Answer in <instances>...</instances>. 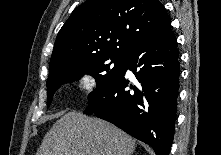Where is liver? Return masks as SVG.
<instances>
[{"label":"liver","mask_w":221,"mask_h":155,"mask_svg":"<svg viewBox=\"0 0 221 155\" xmlns=\"http://www.w3.org/2000/svg\"><path fill=\"white\" fill-rule=\"evenodd\" d=\"M135 147L116 126L71 111L46 133L36 155H131Z\"/></svg>","instance_id":"1"}]
</instances>
